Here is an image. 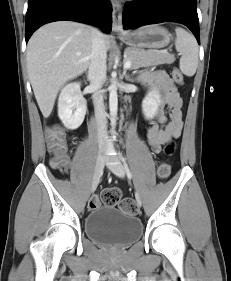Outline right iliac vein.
<instances>
[{
	"label": "right iliac vein",
	"mask_w": 231,
	"mask_h": 281,
	"mask_svg": "<svg viewBox=\"0 0 231 281\" xmlns=\"http://www.w3.org/2000/svg\"><path fill=\"white\" fill-rule=\"evenodd\" d=\"M104 148H100L97 159H96V164H95V171H94V177L92 181V186H91V191L94 192L99 184V180L102 174V170L104 167Z\"/></svg>",
	"instance_id": "right-iliac-vein-1"
}]
</instances>
